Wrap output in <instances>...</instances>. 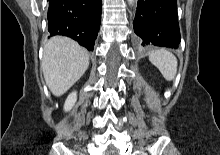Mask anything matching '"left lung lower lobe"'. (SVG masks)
Segmentation results:
<instances>
[{"label":"left lung lower lobe","instance_id":"obj_1","mask_svg":"<svg viewBox=\"0 0 220 155\" xmlns=\"http://www.w3.org/2000/svg\"><path fill=\"white\" fill-rule=\"evenodd\" d=\"M133 26L140 46L176 49L181 41L176 0H138Z\"/></svg>","mask_w":220,"mask_h":155}]
</instances>
